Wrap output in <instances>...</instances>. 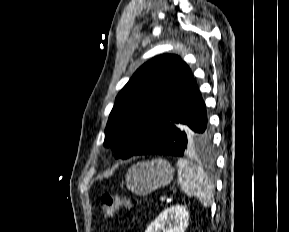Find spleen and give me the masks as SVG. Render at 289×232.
I'll list each match as a JSON object with an SVG mask.
<instances>
[{
    "mask_svg": "<svg viewBox=\"0 0 289 232\" xmlns=\"http://www.w3.org/2000/svg\"><path fill=\"white\" fill-rule=\"evenodd\" d=\"M178 181L188 196L197 197L204 207L211 205L214 186L203 168L187 159H178Z\"/></svg>",
    "mask_w": 289,
    "mask_h": 232,
    "instance_id": "obj_1",
    "label": "spleen"
}]
</instances>
